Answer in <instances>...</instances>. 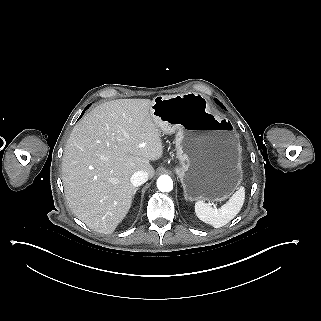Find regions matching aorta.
I'll list each match as a JSON object with an SVG mask.
<instances>
[{
	"label": "aorta",
	"mask_w": 321,
	"mask_h": 321,
	"mask_svg": "<svg viewBox=\"0 0 321 321\" xmlns=\"http://www.w3.org/2000/svg\"><path fill=\"white\" fill-rule=\"evenodd\" d=\"M157 188L161 192H170L173 189V181L170 176L162 175L157 180Z\"/></svg>",
	"instance_id": "1"
}]
</instances>
